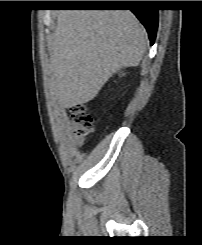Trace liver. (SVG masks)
Segmentation results:
<instances>
[{"instance_id":"1","label":"liver","mask_w":202,"mask_h":245,"mask_svg":"<svg viewBox=\"0 0 202 245\" xmlns=\"http://www.w3.org/2000/svg\"><path fill=\"white\" fill-rule=\"evenodd\" d=\"M129 10H63L50 39L52 83L64 108L93 100L112 75L137 66L147 44Z\"/></svg>"}]
</instances>
